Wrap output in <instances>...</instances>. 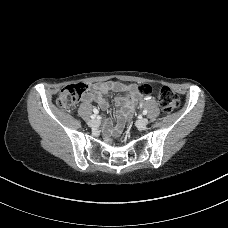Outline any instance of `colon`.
<instances>
[{
	"instance_id": "colon-1",
	"label": "colon",
	"mask_w": 228,
	"mask_h": 228,
	"mask_svg": "<svg viewBox=\"0 0 228 228\" xmlns=\"http://www.w3.org/2000/svg\"><path fill=\"white\" fill-rule=\"evenodd\" d=\"M88 91V85L85 83H74L65 86L59 93L57 103L63 111L72 110L78 100ZM138 92L141 95H149L151 86L142 84L138 86ZM156 94L162 111L170 114L177 110L180 106L178 96L166 86L156 87Z\"/></svg>"
}]
</instances>
